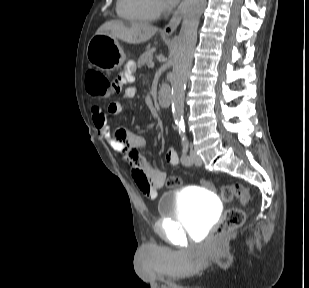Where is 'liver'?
Returning <instances> with one entry per match:
<instances>
[{"label":"liver","instance_id":"1","mask_svg":"<svg viewBox=\"0 0 309 288\" xmlns=\"http://www.w3.org/2000/svg\"><path fill=\"white\" fill-rule=\"evenodd\" d=\"M158 28L147 23L126 24L120 20L104 23L96 34H105L130 44H140L152 38Z\"/></svg>","mask_w":309,"mask_h":288}]
</instances>
